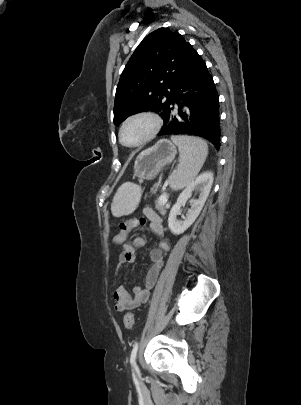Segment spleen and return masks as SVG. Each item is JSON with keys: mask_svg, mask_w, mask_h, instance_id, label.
Wrapping results in <instances>:
<instances>
[{"mask_svg": "<svg viewBox=\"0 0 301 405\" xmlns=\"http://www.w3.org/2000/svg\"><path fill=\"white\" fill-rule=\"evenodd\" d=\"M171 140L178 146L180 163L170 178L173 190H180L195 179L208 155V145L201 138L193 136H172ZM140 188L132 183L122 184L113 198L112 214L120 217L129 214L138 202Z\"/></svg>", "mask_w": 301, "mask_h": 405, "instance_id": "1", "label": "spleen"}]
</instances>
